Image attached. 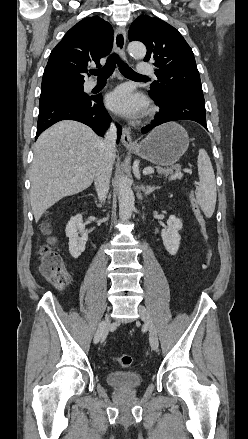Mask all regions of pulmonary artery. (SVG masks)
Masks as SVG:
<instances>
[{
  "mask_svg": "<svg viewBox=\"0 0 248 439\" xmlns=\"http://www.w3.org/2000/svg\"><path fill=\"white\" fill-rule=\"evenodd\" d=\"M137 73L143 76L153 75V68L147 62H139L137 67ZM95 86V82H90L89 88H94Z\"/></svg>",
  "mask_w": 248,
  "mask_h": 439,
  "instance_id": "1",
  "label": "pulmonary artery"
}]
</instances>
